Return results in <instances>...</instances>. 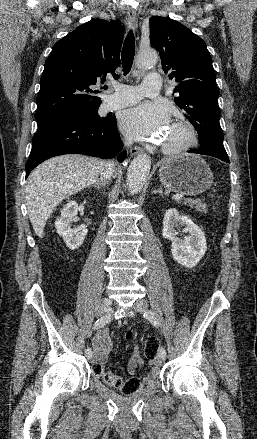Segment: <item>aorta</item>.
<instances>
[{
	"label": "aorta",
	"instance_id": "aorta-1",
	"mask_svg": "<svg viewBox=\"0 0 257 439\" xmlns=\"http://www.w3.org/2000/svg\"><path fill=\"white\" fill-rule=\"evenodd\" d=\"M158 55L152 49L141 50L137 57V66L147 69L156 64ZM151 161L147 154L137 155L129 165L127 171V187L131 194H137L143 188L150 172Z\"/></svg>",
	"mask_w": 257,
	"mask_h": 439
}]
</instances>
